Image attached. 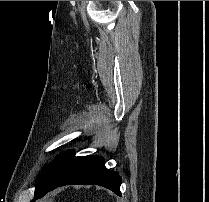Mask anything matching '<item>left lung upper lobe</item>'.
I'll return each instance as SVG.
<instances>
[{"label":"left lung upper lobe","instance_id":"1","mask_svg":"<svg viewBox=\"0 0 209 202\" xmlns=\"http://www.w3.org/2000/svg\"><path fill=\"white\" fill-rule=\"evenodd\" d=\"M50 165H51V164H50ZM50 165H47L46 168H45V169L43 170V172L41 173V175H40V177H39V181H38V183L36 184V189L38 188V186L40 185V183L43 181V179H44V177H45V175H46V173H47V171H48Z\"/></svg>","mask_w":209,"mask_h":202}]
</instances>
